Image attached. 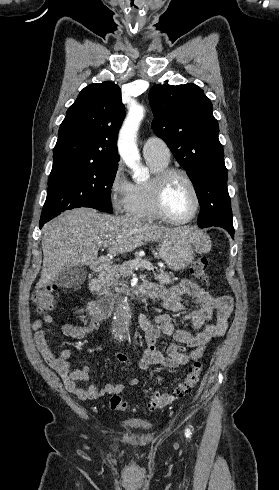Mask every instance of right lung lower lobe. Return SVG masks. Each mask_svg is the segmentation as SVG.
Listing matches in <instances>:
<instances>
[{"label":"right lung lower lobe","mask_w":279,"mask_h":490,"mask_svg":"<svg viewBox=\"0 0 279 490\" xmlns=\"http://www.w3.org/2000/svg\"><path fill=\"white\" fill-rule=\"evenodd\" d=\"M46 222H47V221H45V220H44V221H41V220H40V223H39V227H40V229L42 228V226H43V225H44Z\"/></svg>","instance_id":"obj_1"}]
</instances>
